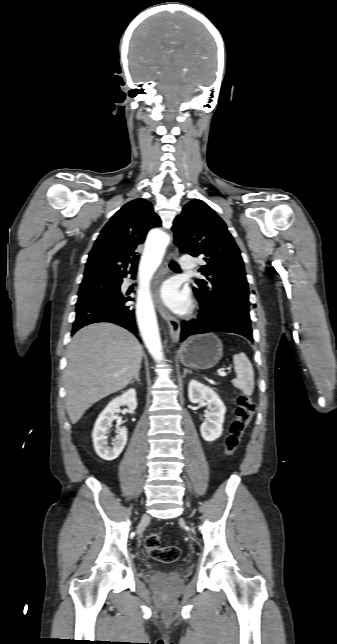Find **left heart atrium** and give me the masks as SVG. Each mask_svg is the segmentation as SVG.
Here are the masks:
<instances>
[{
    "instance_id": "left-heart-atrium-1",
    "label": "left heart atrium",
    "mask_w": 337,
    "mask_h": 644,
    "mask_svg": "<svg viewBox=\"0 0 337 644\" xmlns=\"http://www.w3.org/2000/svg\"><path fill=\"white\" fill-rule=\"evenodd\" d=\"M163 301L174 311L183 312L189 306V296L187 291L179 290L174 281L166 282L161 289Z\"/></svg>"
}]
</instances>
